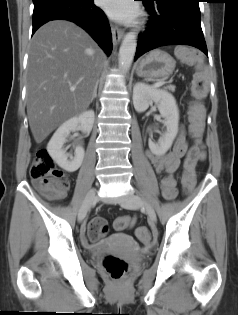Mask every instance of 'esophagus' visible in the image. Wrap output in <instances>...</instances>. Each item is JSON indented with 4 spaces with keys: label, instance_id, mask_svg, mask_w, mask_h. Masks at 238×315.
I'll return each mask as SVG.
<instances>
[{
    "label": "esophagus",
    "instance_id": "obj_1",
    "mask_svg": "<svg viewBox=\"0 0 238 315\" xmlns=\"http://www.w3.org/2000/svg\"><path fill=\"white\" fill-rule=\"evenodd\" d=\"M124 36V31L117 28V27H113L112 28V37H113V44L117 45L120 40L123 38Z\"/></svg>",
    "mask_w": 238,
    "mask_h": 315
}]
</instances>
